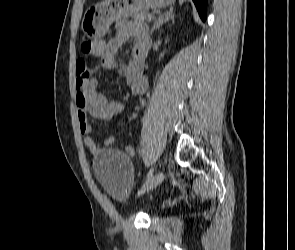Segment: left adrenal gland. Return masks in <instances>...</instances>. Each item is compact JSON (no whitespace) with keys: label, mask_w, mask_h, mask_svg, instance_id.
I'll list each match as a JSON object with an SVG mask.
<instances>
[{"label":"left adrenal gland","mask_w":295,"mask_h":250,"mask_svg":"<svg viewBox=\"0 0 295 250\" xmlns=\"http://www.w3.org/2000/svg\"><path fill=\"white\" fill-rule=\"evenodd\" d=\"M175 17V14L173 12V7H170L168 11L165 13H162L158 16V18L155 20L153 27L151 28L150 34L154 32V30L158 29L163 23H166L169 20H173Z\"/></svg>","instance_id":"obj_1"}]
</instances>
